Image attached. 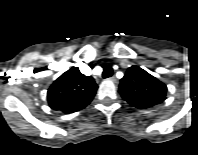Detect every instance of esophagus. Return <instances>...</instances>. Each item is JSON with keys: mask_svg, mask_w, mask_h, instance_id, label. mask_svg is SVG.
Segmentation results:
<instances>
[{"mask_svg": "<svg viewBox=\"0 0 198 155\" xmlns=\"http://www.w3.org/2000/svg\"><path fill=\"white\" fill-rule=\"evenodd\" d=\"M109 80L115 81L116 79H115V77H110Z\"/></svg>", "mask_w": 198, "mask_h": 155, "instance_id": "1", "label": "esophagus"}]
</instances>
